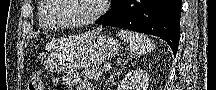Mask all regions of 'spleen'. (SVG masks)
<instances>
[{
  "label": "spleen",
  "instance_id": "obj_1",
  "mask_svg": "<svg viewBox=\"0 0 216 90\" xmlns=\"http://www.w3.org/2000/svg\"><path fill=\"white\" fill-rule=\"evenodd\" d=\"M119 36L123 42L128 44L132 54L136 56H144L151 50H154V44L148 36L138 34V32H130V30H120Z\"/></svg>",
  "mask_w": 216,
  "mask_h": 90
}]
</instances>
